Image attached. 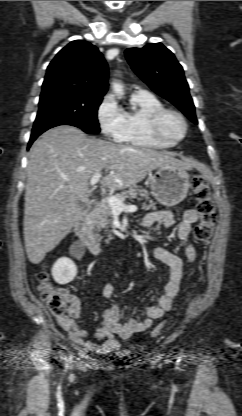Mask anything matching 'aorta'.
I'll use <instances>...</instances> for the list:
<instances>
[{
  "mask_svg": "<svg viewBox=\"0 0 242 416\" xmlns=\"http://www.w3.org/2000/svg\"><path fill=\"white\" fill-rule=\"evenodd\" d=\"M112 89L115 93H122L123 92V86L119 84L116 81L112 82Z\"/></svg>",
  "mask_w": 242,
  "mask_h": 416,
  "instance_id": "1",
  "label": "aorta"
}]
</instances>
